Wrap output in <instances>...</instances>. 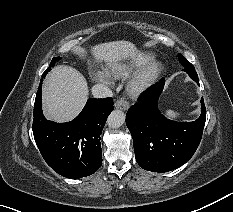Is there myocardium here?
I'll return each mask as SVG.
<instances>
[{
	"mask_svg": "<svg viewBox=\"0 0 233 212\" xmlns=\"http://www.w3.org/2000/svg\"><path fill=\"white\" fill-rule=\"evenodd\" d=\"M162 70L163 65L160 61H149L130 78L128 91L134 96L144 93L157 81Z\"/></svg>",
	"mask_w": 233,
	"mask_h": 212,
	"instance_id": "1",
	"label": "myocardium"
}]
</instances>
